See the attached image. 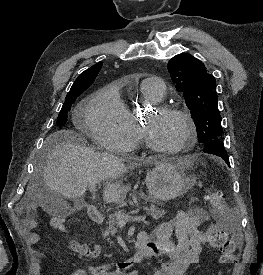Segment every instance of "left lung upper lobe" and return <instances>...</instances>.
<instances>
[{
	"instance_id": "obj_1",
	"label": "left lung upper lobe",
	"mask_w": 263,
	"mask_h": 275,
	"mask_svg": "<svg viewBox=\"0 0 263 275\" xmlns=\"http://www.w3.org/2000/svg\"><path fill=\"white\" fill-rule=\"evenodd\" d=\"M168 71L191 110L199 142L206 144L219 139L223 131L215 78L207 73L201 61L189 54L173 57L168 62Z\"/></svg>"
}]
</instances>
